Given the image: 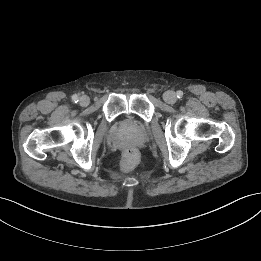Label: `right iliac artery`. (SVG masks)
<instances>
[{
  "label": "right iliac artery",
  "instance_id": "1",
  "mask_svg": "<svg viewBox=\"0 0 261 261\" xmlns=\"http://www.w3.org/2000/svg\"><path fill=\"white\" fill-rule=\"evenodd\" d=\"M72 101H73L74 103H77V102L79 101L78 96H77V95H73V96H72Z\"/></svg>",
  "mask_w": 261,
  "mask_h": 261
}]
</instances>
